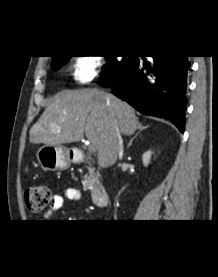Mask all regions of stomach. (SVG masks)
<instances>
[{"label":"stomach","instance_id":"obj_1","mask_svg":"<svg viewBox=\"0 0 218 277\" xmlns=\"http://www.w3.org/2000/svg\"><path fill=\"white\" fill-rule=\"evenodd\" d=\"M36 157L44 171L64 170L70 166L69 152L63 146L44 145L39 148Z\"/></svg>","mask_w":218,"mask_h":277}]
</instances>
